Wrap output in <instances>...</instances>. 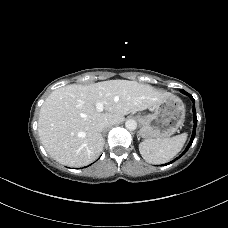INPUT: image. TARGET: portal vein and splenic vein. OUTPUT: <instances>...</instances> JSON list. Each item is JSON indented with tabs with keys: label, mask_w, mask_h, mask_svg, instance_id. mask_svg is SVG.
Instances as JSON below:
<instances>
[{
	"label": "portal vein and splenic vein",
	"mask_w": 228,
	"mask_h": 228,
	"mask_svg": "<svg viewBox=\"0 0 228 228\" xmlns=\"http://www.w3.org/2000/svg\"><path fill=\"white\" fill-rule=\"evenodd\" d=\"M97 109H98V111L101 112L103 110V104H101V103L97 104Z\"/></svg>",
	"instance_id": "portal-vein-and-splenic-vein-1"
}]
</instances>
